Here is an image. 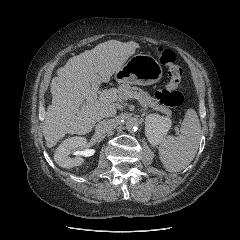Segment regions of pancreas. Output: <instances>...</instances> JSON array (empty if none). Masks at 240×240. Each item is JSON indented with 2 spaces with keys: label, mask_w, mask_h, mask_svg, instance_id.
I'll return each mask as SVG.
<instances>
[{
  "label": "pancreas",
  "mask_w": 240,
  "mask_h": 240,
  "mask_svg": "<svg viewBox=\"0 0 240 240\" xmlns=\"http://www.w3.org/2000/svg\"><path fill=\"white\" fill-rule=\"evenodd\" d=\"M117 92L120 101L127 100V94L133 93L138 95L141 101L145 102L149 107L153 108L154 110L165 113L168 116L172 115V112L168 107L160 105L155 98H153L147 92L143 91L138 87H132L129 84L124 83L118 87Z\"/></svg>",
  "instance_id": "pancreas-1"
}]
</instances>
